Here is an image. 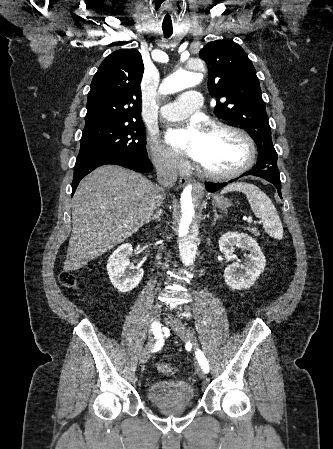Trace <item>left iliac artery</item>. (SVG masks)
Instances as JSON below:
<instances>
[{"mask_svg": "<svg viewBox=\"0 0 333 449\" xmlns=\"http://www.w3.org/2000/svg\"><path fill=\"white\" fill-rule=\"evenodd\" d=\"M195 354H196V358H197L201 368L203 369V371L205 373H208L209 372V364H208V361H207L206 357L202 353V351H200L198 349Z\"/></svg>", "mask_w": 333, "mask_h": 449, "instance_id": "1", "label": "left iliac artery"}]
</instances>
